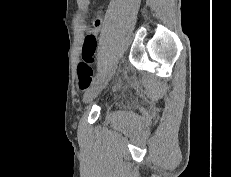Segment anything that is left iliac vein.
Listing matches in <instances>:
<instances>
[{
  "mask_svg": "<svg viewBox=\"0 0 231 177\" xmlns=\"http://www.w3.org/2000/svg\"><path fill=\"white\" fill-rule=\"evenodd\" d=\"M115 72V68L110 70L107 74L102 76L94 86H92L89 90H87L83 96V102L88 104L92 102L97 95L102 91V89L106 86V84L110 81L113 77Z\"/></svg>",
  "mask_w": 231,
  "mask_h": 177,
  "instance_id": "left-iliac-vein-1",
  "label": "left iliac vein"
}]
</instances>
